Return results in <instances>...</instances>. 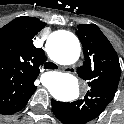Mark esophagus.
Returning <instances> with one entry per match:
<instances>
[{"label":"esophagus","mask_w":124,"mask_h":124,"mask_svg":"<svg viewBox=\"0 0 124 124\" xmlns=\"http://www.w3.org/2000/svg\"><path fill=\"white\" fill-rule=\"evenodd\" d=\"M62 71L68 72V73H73L75 72V67L70 66V67H62Z\"/></svg>","instance_id":"34e87169"}]
</instances>
